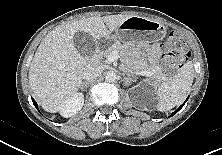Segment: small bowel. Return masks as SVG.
I'll return each instance as SVG.
<instances>
[{"label": "small bowel", "mask_w": 222, "mask_h": 155, "mask_svg": "<svg viewBox=\"0 0 222 155\" xmlns=\"http://www.w3.org/2000/svg\"><path fill=\"white\" fill-rule=\"evenodd\" d=\"M159 54V47L158 46H153L152 51H151V55L152 57H157V55Z\"/></svg>", "instance_id": "1"}]
</instances>
